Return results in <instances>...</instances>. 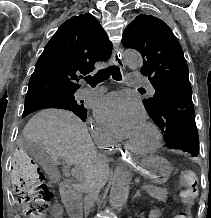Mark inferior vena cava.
<instances>
[{"label": "inferior vena cava", "mask_w": 211, "mask_h": 218, "mask_svg": "<svg viewBox=\"0 0 211 218\" xmlns=\"http://www.w3.org/2000/svg\"><path fill=\"white\" fill-rule=\"evenodd\" d=\"M102 156V154H100ZM104 158V156H102ZM84 180L82 184L83 192L85 194L84 198V208L85 210H90L93 208V204L100 194L101 188L105 186L103 178H97L94 174L90 172H84Z\"/></svg>", "instance_id": "1"}]
</instances>
